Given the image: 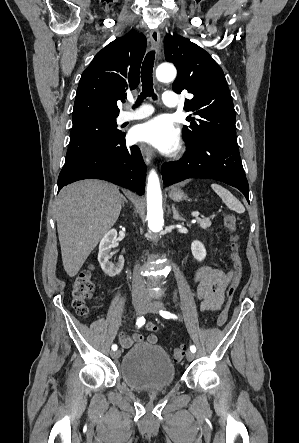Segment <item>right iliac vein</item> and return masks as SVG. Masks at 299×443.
I'll return each instance as SVG.
<instances>
[{"label":"right iliac vein","mask_w":299,"mask_h":443,"mask_svg":"<svg viewBox=\"0 0 299 443\" xmlns=\"http://www.w3.org/2000/svg\"><path fill=\"white\" fill-rule=\"evenodd\" d=\"M134 308H135V311L138 313V314H142L144 311H145V309H146V305L144 304V303H142L141 301H135L134 302ZM120 351L118 350V351H114V352H112L111 353V356H112V358H114V359H118L119 357H120Z\"/></svg>","instance_id":"right-iliac-vein-1"}]
</instances>
